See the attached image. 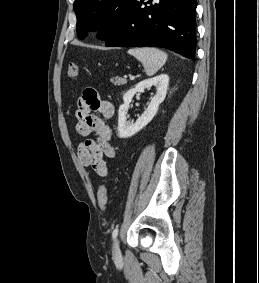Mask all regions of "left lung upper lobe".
<instances>
[{
    "label": "left lung upper lobe",
    "instance_id": "obj_1",
    "mask_svg": "<svg viewBox=\"0 0 259 283\" xmlns=\"http://www.w3.org/2000/svg\"><path fill=\"white\" fill-rule=\"evenodd\" d=\"M135 0H75L77 35L84 39L88 32L101 26L98 38L108 41L121 27Z\"/></svg>",
    "mask_w": 259,
    "mask_h": 283
}]
</instances>
